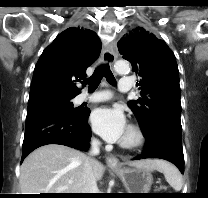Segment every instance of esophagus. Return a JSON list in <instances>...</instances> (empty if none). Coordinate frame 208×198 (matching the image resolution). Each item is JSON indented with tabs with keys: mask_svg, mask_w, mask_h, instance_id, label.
<instances>
[{
	"mask_svg": "<svg viewBox=\"0 0 208 198\" xmlns=\"http://www.w3.org/2000/svg\"><path fill=\"white\" fill-rule=\"evenodd\" d=\"M102 59L104 63L113 64L116 59V52L111 45L105 47ZM106 163L110 167H118L119 160L114 155H109L106 157Z\"/></svg>",
	"mask_w": 208,
	"mask_h": 198,
	"instance_id": "1",
	"label": "esophagus"
}]
</instances>
